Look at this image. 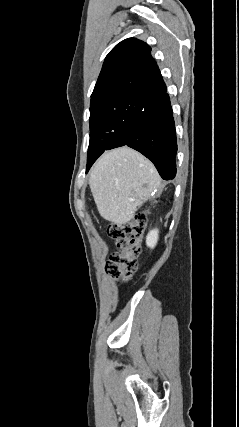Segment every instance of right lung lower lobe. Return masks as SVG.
I'll use <instances>...</instances> for the list:
<instances>
[{
    "label": "right lung lower lobe",
    "mask_w": 239,
    "mask_h": 427,
    "mask_svg": "<svg viewBox=\"0 0 239 427\" xmlns=\"http://www.w3.org/2000/svg\"><path fill=\"white\" fill-rule=\"evenodd\" d=\"M144 108L134 118L127 145L146 156L164 180L176 175L177 138L170 99L166 90L145 98Z\"/></svg>",
    "instance_id": "98d812e1"
}]
</instances>
